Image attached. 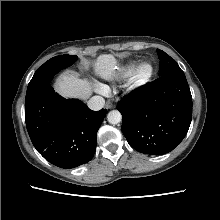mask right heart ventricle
<instances>
[{
  "instance_id": "1",
  "label": "right heart ventricle",
  "mask_w": 220,
  "mask_h": 220,
  "mask_svg": "<svg viewBox=\"0 0 220 220\" xmlns=\"http://www.w3.org/2000/svg\"><path fill=\"white\" fill-rule=\"evenodd\" d=\"M134 68H135V62H128L127 64H125L123 67L119 69L118 77L125 78L129 76L134 70ZM102 88L105 89L104 87Z\"/></svg>"
}]
</instances>
